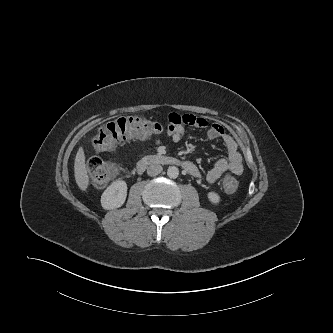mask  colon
Instances as JSON below:
<instances>
[{"label": "colon", "mask_w": 333, "mask_h": 333, "mask_svg": "<svg viewBox=\"0 0 333 333\" xmlns=\"http://www.w3.org/2000/svg\"><path fill=\"white\" fill-rule=\"evenodd\" d=\"M163 129L160 123L144 117H122L101 127L93 138V146L98 151L107 152L118 144L132 139L149 138L161 133ZM88 169L93 182L98 186L106 185L119 171L116 164L99 158H91L88 161ZM222 187L225 192L233 193L238 188V180L232 175H227L222 181Z\"/></svg>", "instance_id": "5ec220e1"}]
</instances>
